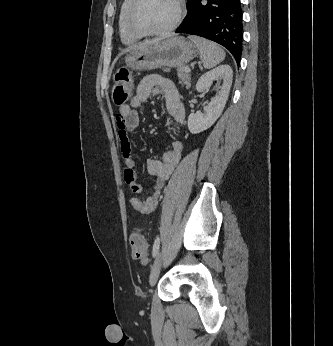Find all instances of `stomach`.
I'll list each match as a JSON object with an SVG mask.
<instances>
[{
  "label": "stomach",
  "mask_w": 333,
  "mask_h": 346,
  "mask_svg": "<svg viewBox=\"0 0 333 346\" xmlns=\"http://www.w3.org/2000/svg\"><path fill=\"white\" fill-rule=\"evenodd\" d=\"M197 46L176 36L132 50L126 57L131 70H154L161 67H182L198 55Z\"/></svg>",
  "instance_id": "obj_1"
}]
</instances>
